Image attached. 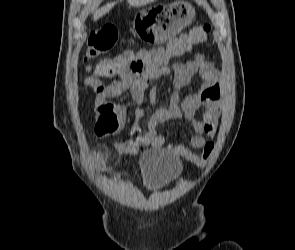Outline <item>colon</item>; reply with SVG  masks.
<instances>
[{"instance_id": "5ec220e1", "label": "colon", "mask_w": 295, "mask_h": 250, "mask_svg": "<svg viewBox=\"0 0 295 250\" xmlns=\"http://www.w3.org/2000/svg\"><path fill=\"white\" fill-rule=\"evenodd\" d=\"M211 32V26L207 23L194 26L189 32L180 35L169 44L179 51H188L197 44L204 43ZM118 33L114 26L105 25L100 29L93 31L87 42L85 61L88 68L98 77H110L119 68L117 59H102L96 64L91 61L95 57L109 51L117 42ZM123 124V117L120 108L112 103L105 102L95 108V132L99 136L107 137L119 131ZM214 150V143L208 142L203 147L201 155H193L190 161L203 167L210 159Z\"/></svg>"}]
</instances>
